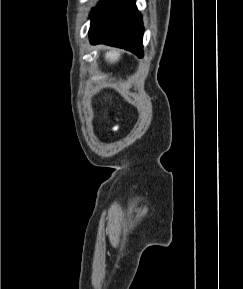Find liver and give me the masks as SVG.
Returning a JSON list of instances; mask_svg holds the SVG:
<instances>
[{"instance_id":"6515ba94","label":"liver","mask_w":243,"mask_h":289,"mask_svg":"<svg viewBox=\"0 0 243 289\" xmlns=\"http://www.w3.org/2000/svg\"><path fill=\"white\" fill-rule=\"evenodd\" d=\"M120 56H121L120 50L116 48H110L109 51L105 53L106 61H108L111 64L118 62Z\"/></svg>"}]
</instances>
